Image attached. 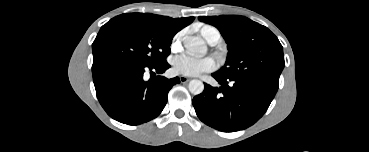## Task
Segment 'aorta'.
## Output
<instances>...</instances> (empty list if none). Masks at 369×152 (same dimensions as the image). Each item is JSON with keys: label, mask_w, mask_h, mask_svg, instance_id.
I'll list each match as a JSON object with an SVG mask.
<instances>
[{"label": "aorta", "mask_w": 369, "mask_h": 152, "mask_svg": "<svg viewBox=\"0 0 369 152\" xmlns=\"http://www.w3.org/2000/svg\"><path fill=\"white\" fill-rule=\"evenodd\" d=\"M184 47L193 54H205L207 52V47L205 42L195 36H186L183 39ZM188 89L193 95H199L204 90V84L202 81L193 79L188 84Z\"/></svg>", "instance_id": "aorta-1"}]
</instances>
